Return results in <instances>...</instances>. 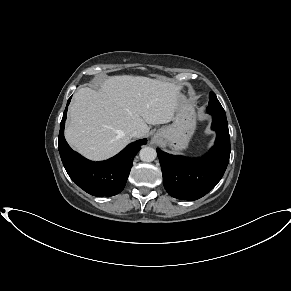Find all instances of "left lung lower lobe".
Masks as SVG:
<instances>
[{
    "mask_svg": "<svg viewBox=\"0 0 291 291\" xmlns=\"http://www.w3.org/2000/svg\"><path fill=\"white\" fill-rule=\"evenodd\" d=\"M212 115L211 128L217 132L215 146L203 157L175 156L157 149L163 184L174 198L197 200L212 190L221 180L230 158V136L222 106H208Z\"/></svg>",
    "mask_w": 291,
    "mask_h": 291,
    "instance_id": "left-lung-lower-lobe-1",
    "label": "left lung lower lobe"
}]
</instances>
